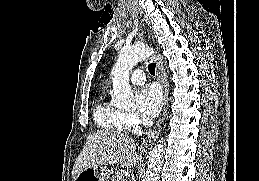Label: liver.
Returning a JSON list of instances; mask_svg holds the SVG:
<instances>
[{"label":"liver","instance_id":"6515ba94","mask_svg":"<svg viewBox=\"0 0 259 181\" xmlns=\"http://www.w3.org/2000/svg\"><path fill=\"white\" fill-rule=\"evenodd\" d=\"M136 142L118 131H97L90 134L75 161L72 178L93 165L108 166L120 164L124 168L136 166L141 154L136 152Z\"/></svg>","mask_w":259,"mask_h":181}]
</instances>
